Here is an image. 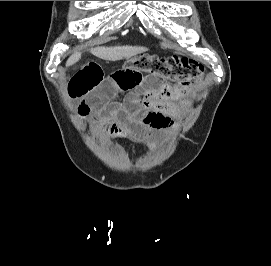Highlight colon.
Listing matches in <instances>:
<instances>
[{"label": "colon", "mask_w": 271, "mask_h": 266, "mask_svg": "<svg viewBox=\"0 0 271 266\" xmlns=\"http://www.w3.org/2000/svg\"><path fill=\"white\" fill-rule=\"evenodd\" d=\"M124 68H137L144 73L164 80L177 82L185 89L190 88L202 77V70L196 65H185L155 55H140L124 62Z\"/></svg>", "instance_id": "1"}]
</instances>
